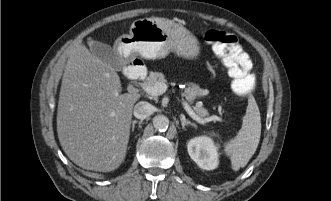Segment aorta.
<instances>
[{
	"label": "aorta",
	"instance_id": "762f6f07",
	"mask_svg": "<svg viewBox=\"0 0 331 201\" xmlns=\"http://www.w3.org/2000/svg\"><path fill=\"white\" fill-rule=\"evenodd\" d=\"M153 125L158 131H166L169 127V119L164 115H157L153 118Z\"/></svg>",
	"mask_w": 331,
	"mask_h": 201
}]
</instances>
